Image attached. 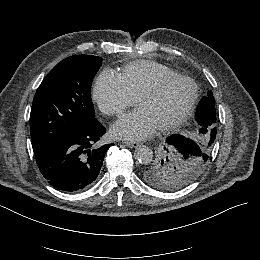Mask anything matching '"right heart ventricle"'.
<instances>
[{
    "label": "right heart ventricle",
    "mask_w": 260,
    "mask_h": 260,
    "mask_svg": "<svg viewBox=\"0 0 260 260\" xmlns=\"http://www.w3.org/2000/svg\"><path fill=\"white\" fill-rule=\"evenodd\" d=\"M176 73L174 69L164 64L146 61L133 62L127 65L119 77L131 96L136 98L138 93L155 79Z\"/></svg>",
    "instance_id": "right-heart-ventricle-1"
}]
</instances>
